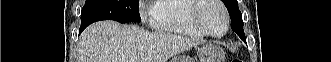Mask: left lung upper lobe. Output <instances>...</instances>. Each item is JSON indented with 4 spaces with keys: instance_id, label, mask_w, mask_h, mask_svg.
Segmentation results:
<instances>
[{
    "instance_id": "5c2ea615",
    "label": "left lung upper lobe",
    "mask_w": 331,
    "mask_h": 62,
    "mask_svg": "<svg viewBox=\"0 0 331 62\" xmlns=\"http://www.w3.org/2000/svg\"><path fill=\"white\" fill-rule=\"evenodd\" d=\"M225 4L230 17H231V24H235L238 27L243 29V21H242V14L239 10L237 0H222Z\"/></svg>"
}]
</instances>
